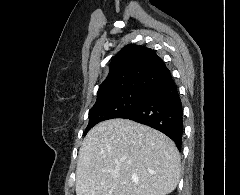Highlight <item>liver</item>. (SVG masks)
Listing matches in <instances>:
<instances>
[{"label":"liver","mask_w":240,"mask_h":195,"mask_svg":"<svg viewBox=\"0 0 240 195\" xmlns=\"http://www.w3.org/2000/svg\"><path fill=\"white\" fill-rule=\"evenodd\" d=\"M180 153L170 137L131 119H106L80 147L76 195H166L180 179Z\"/></svg>","instance_id":"1"}]
</instances>
